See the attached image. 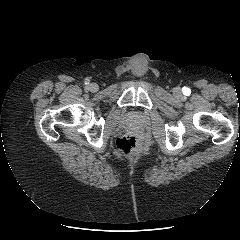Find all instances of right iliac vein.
Segmentation results:
<instances>
[{
	"label": "right iliac vein",
	"mask_w": 240,
	"mask_h": 240,
	"mask_svg": "<svg viewBox=\"0 0 240 240\" xmlns=\"http://www.w3.org/2000/svg\"><path fill=\"white\" fill-rule=\"evenodd\" d=\"M89 89H90L91 91H93V92H96V91H98L99 86H98L96 83H91V84L89 85Z\"/></svg>",
	"instance_id": "obj_1"
}]
</instances>
